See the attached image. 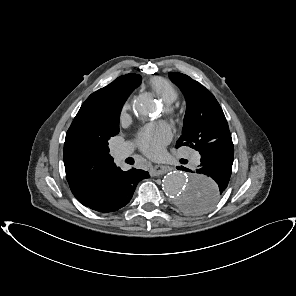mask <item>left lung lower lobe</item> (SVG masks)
I'll return each instance as SVG.
<instances>
[{
  "label": "left lung lower lobe",
  "mask_w": 296,
  "mask_h": 296,
  "mask_svg": "<svg viewBox=\"0 0 296 296\" xmlns=\"http://www.w3.org/2000/svg\"><path fill=\"white\" fill-rule=\"evenodd\" d=\"M207 152L201 154V164L193 172L194 177L208 176L217 184L214 192L203 194L187 204L186 209L191 212H202L212 207L222 196L228 186L233 164L234 148L231 134L223 136L213 142ZM180 170L192 172L183 166L177 167Z\"/></svg>",
  "instance_id": "1"
}]
</instances>
